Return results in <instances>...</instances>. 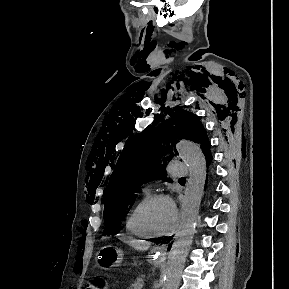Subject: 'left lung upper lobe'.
Wrapping results in <instances>:
<instances>
[{
	"instance_id": "left-lung-upper-lobe-1",
	"label": "left lung upper lobe",
	"mask_w": 289,
	"mask_h": 289,
	"mask_svg": "<svg viewBox=\"0 0 289 289\" xmlns=\"http://www.w3.org/2000/svg\"><path fill=\"white\" fill-rule=\"evenodd\" d=\"M169 114L172 118L158 128L151 127L146 133L132 137L121 153L103 194L104 235L119 233L142 184L165 179L166 163L173 158L172 148L179 139L198 143L205 156L210 152L208 136L196 115L181 107Z\"/></svg>"
}]
</instances>
